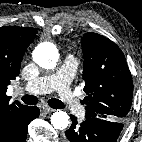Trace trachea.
Segmentation results:
<instances>
[{
    "label": "trachea",
    "mask_w": 142,
    "mask_h": 142,
    "mask_svg": "<svg viewBox=\"0 0 142 142\" xmlns=\"http://www.w3.org/2000/svg\"><path fill=\"white\" fill-rule=\"evenodd\" d=\"M21 100L28 105H36L38 103V98L36 96L33 95H25L21 98ZM48 104L50 107L54 108V109H63L64 108V104L55 98H52L50 100H48Z\"/></svg>",
    "instance_id": "3493384b"
}]
</instances>
